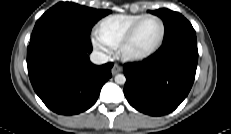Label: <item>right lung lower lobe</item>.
I'll list each match as a JSON object with an SVG mask.
<instances>
[{
    "instance_id": "right-lung-lower-lobe-1",
    "label": "right lung lower lobe",
    "mask_w": 231,
    "mask_h": 134,
    "mask_svg": "<svg viewBox=\"0 0 231 134\" xmlns=\"http://www.w3.org/2000/svg\"><path fill=\"white\" fill-rule=\"evenodd\" d=\"M87 35L65 25H48L33 32L27 49L31 84L52 111L73 115L96 102L103 84L111 78L112 63L96 66Z\"/></svg>"
}]
</instances>
